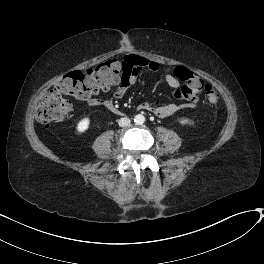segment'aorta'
I'll return each instance as SVG.
<instances>
[{
    "label": "aorta",
    "instance_id": "762f6f07",
    "mask_svg": "<svg viewBox=\"0 0 264 264\" xmlns=\"http://www.w3.org/2000/svg\"><path fill=\"white\" fill-rule=\"evenodd\" d=\"M134 122L138 125H141L145 122V117L144 115L142 114H137L135 117H134Z\"/></svg>",
    "mask_w": 264,
    "mask_h": 264
}]
</instances>
